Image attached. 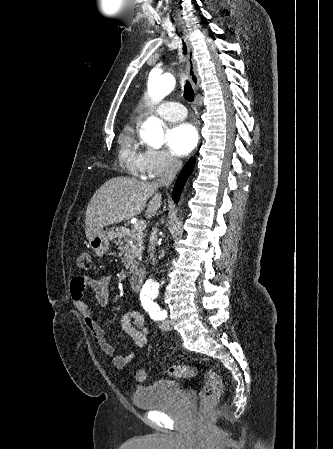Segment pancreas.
<instances>
[{"instance_id":"1","label":"pancreas","mask_w":333,"mask_h":449,"mask_svg":"<svg viewBox=\"0 0 333 449\" xmlns=\"http://www.w3.org/2000/svg\"><path fill=\"white\" fill-rule=\"evenodd\" d=\"M109 238H118V249L124 253L126 269L135 270L142 260L143 234L125 227L116 228L108 233Z\"/></svg>"}]
</instances>
